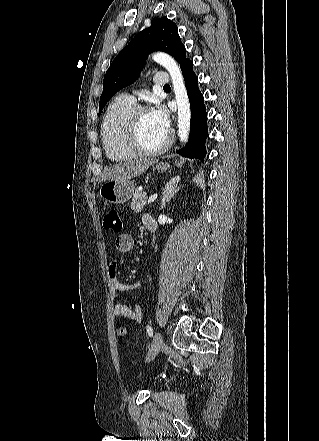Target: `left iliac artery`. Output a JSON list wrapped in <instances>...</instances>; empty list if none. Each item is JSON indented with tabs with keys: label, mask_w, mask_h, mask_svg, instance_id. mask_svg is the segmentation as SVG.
Masks as SVG:
<instances>
[{
	"label": "left iliac artery",
	"mask_w": 319,
	"mask_h": 441,
	"mask_svg": "<svg viewBox=\"0 0 319 441\" xmlns=\"http://www.w3.org/2000/svg\"><path fill=\"white\" fill-rule=\"evenodd\" d=\"M147 333H148V335L150 336V337H152L153 336V329H152V327L151 326H147Z\"/></svg>",
	"instance_id": "44dca946"
}]
</instances>
